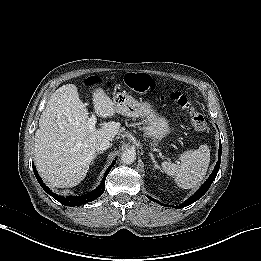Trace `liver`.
Listing matches in <instances>:
<instances>
[{
  "label": "liver",
  "mask_w": 261,
  "mask_h": 261,
  "mask_svg": "<svg viewBox=\"0 0 261 261\" xmlns=\"http://www.w3.org/2000/svg\"><path fill=\"white\" fill-rule=\"evenodd\" d=\"M99 117L115 115L114 102L99 89L93 94ZM89 112L74 84L58 88L50 97L35 133L34 160L37 170L49 186L74 187L86 176L96 154L100 138L113 140L120 123L110 121L100 129L90 128Z\"/></svg>",
  "instance_id": "liver-1"
}]
</instances>
